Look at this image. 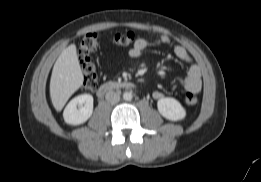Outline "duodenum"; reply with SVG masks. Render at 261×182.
<instances>
[{
	"mask_svg": "<svg viewBox=\"0 0 261 182\" xmlns=\"http://www.w3.org/2000/svg\"><path fill=\"white\" fill-rule=\"evenodd\" d=\"M134 85L131 82H117V81H111V82H106L100 85L96 91V94L98 97H103L105 96L108 92L114 89H119V88H133Z\"/></svg>",
	"mask_w": 261,
	"mask_h": 182,
	"instance_id": "410a0bca",
	"label": "duodenum"
}]
</instances>
